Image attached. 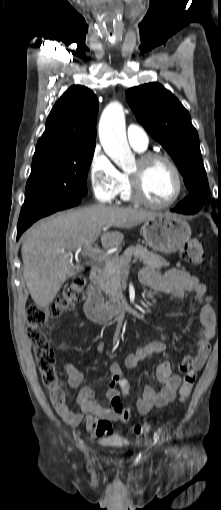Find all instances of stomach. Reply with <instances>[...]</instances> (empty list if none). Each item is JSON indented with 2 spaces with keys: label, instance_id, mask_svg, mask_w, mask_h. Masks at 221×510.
Instances as JSON below:
<instances>
[{
  "label": "stomach",
  "instance_id": "stomach-1",
  "mask_svg": "<svg viewBox=\"0 0 221 510\" xmlns=\"http://www.w3.org/2000/svg\"><path fill=\"white\" fill-rule=\"evenodd\" d=\"M146 244L153 250L172 254L190 239L191 228L180 216L168 213L147 219L142 226Z\"/></svg>",
  "mask_w": 221,
  "mask_h": 510
}]
</instances>
